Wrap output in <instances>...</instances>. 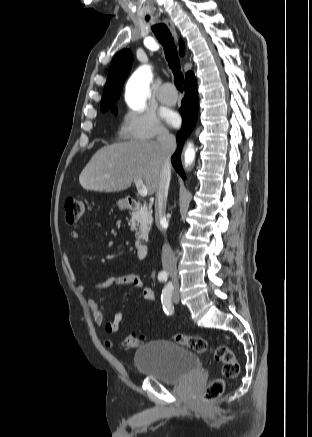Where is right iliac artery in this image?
I'll return each mask as SVG.
<instances>
[{"mask_svg": "<svg viewBox=\"0 0 312 437\" xmlns=\"http://www.w3.org/2000/svg\"><path fill=\"white\" fill-rule=\"evenodd\" d=\"M167 279H168V274H166V273H161L158 275V280L161 282H165V281H167Z\"/></svg>", "mask_w": 312, "mask_h": 437, "instance_id": "1", "label": "right iliac artery"}]
</instances>
